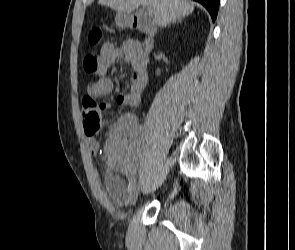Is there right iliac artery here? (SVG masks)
Wrapping results in <instances>:
<instances>
[{"label": "right iliac artery", "mask_w": 295, "mask_h": 250, "mask_svg": "<svg viewBox=\"0 0 295 250\" xmlns=\"http://www.w3.org/2000/svg\"><path fill=\"white\" fill-rule=\"evenodd\" d=\"M135 183H136V179H132L130 182H129V185H128V192H131L132 189L134 188L135 186Z\"/></svg>", "instance_id": "right-iliac-artery-1"}]
</instances>
